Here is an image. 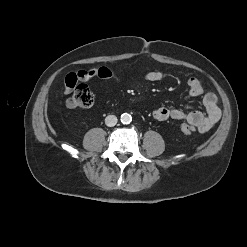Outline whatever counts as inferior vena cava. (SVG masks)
<instances>
[{"instance_id": "obj_1", "label": "inferior vena cava", "mask_w": 247, "mask_h": 247, "mask_svg": "<svg viewBox=\"0 0 247 247\" xmlns=\"http://www.w3.org/2000/svg\"><path fill=\"white\" fill-rule=\"evenodd\" d=\"M118 119L115 115H108L106 118H105V124L108 126V127H113L116 125Z\"/></svg>"}]
</instances>
